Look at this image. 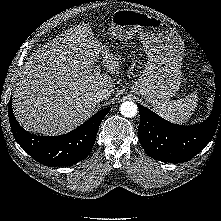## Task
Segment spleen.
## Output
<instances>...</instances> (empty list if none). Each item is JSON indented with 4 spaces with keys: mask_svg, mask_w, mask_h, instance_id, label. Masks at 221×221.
<instances>
[{
    "mask_svg": "<svg viewBox=\"0 0 221 221\" xmlns=\"http://www.w3.org/2000/svg\"><path fill=\"white\" fill-rule=\"evenodd\" d=\"M197 102L198 95L193 92L184 98L154 105L153 109L162 118L172 123L183 124L191 118Z\"/></svg>",
    "mask_w": 221,
    "mask_h": 221,
    "instance_id": "spleen-1",
    "label": "spleen"
}]
</instances>
